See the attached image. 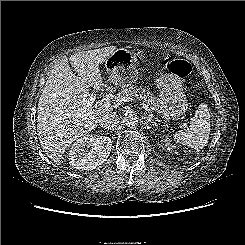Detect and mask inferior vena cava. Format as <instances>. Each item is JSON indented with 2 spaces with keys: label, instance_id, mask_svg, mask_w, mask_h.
<instances>
[{
  "label": "inferior vena cava",
  "instance_id": "obj_1",
  "mask_svg": "<svg viewBox=\"0 0 245 245\" xmlns=\"http://www.w3.org/2000/svg\"><path fill=\"white\" fill-rule=\"evenodd\" d=\"M119 122L118 115L115 112L107 113L99 120V124L104 129H111Z\"/></svg>",
  "mask_w": 245,
  "mask_h": 245
}]
</instances>
